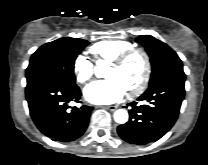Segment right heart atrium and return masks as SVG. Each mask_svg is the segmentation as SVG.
Returning <instances> with one entry per match:
<instances>
[{"label":"right heart atrium","mask_w":208,"mask_h":165,"mask_svg":"<svg viewBox=\"0 0 208 165\" xmlns=\"http://www.w3.org/2000/svg\"><path fill=\"white\" fill-rule=\"evenodd\" d=\"M73 70L79 83L88 82L94 73L92 61L84 55H79L75 58Z\"/></svg>","instance_id":"d8ad5b80"}]
</instances>
